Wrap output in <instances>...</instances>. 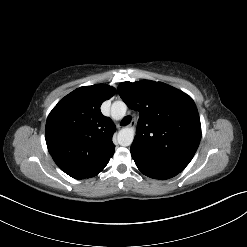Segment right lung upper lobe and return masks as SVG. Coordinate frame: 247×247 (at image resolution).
I'll return each instance as SVG.
<instances>
[{
    "mask_svg": "<svg viewBox=\"0 0 247 247\" xmlns=\"http://www.w3.org/2000/svg\"><path fill=\"white\" fill-rule=\"evenodd\" d=\"M114 94L115 89L105 84L80 87L50 112L45 128L47 147L69 176L86 178L114 154L115 125L100 111L101 104Z\"/></svg>",
    "mask_w": 247,
    "mask_h": 247,
    "instance_id": "right-lung-upper-lobe-1",
    "label": "right lung upper lobe"
}]
</instances>
